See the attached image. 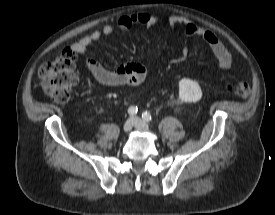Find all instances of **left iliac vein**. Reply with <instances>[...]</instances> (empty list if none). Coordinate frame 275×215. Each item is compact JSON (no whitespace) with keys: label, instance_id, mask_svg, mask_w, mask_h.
<instances>
[{"label":"left iliac vein","instance_id":"obj_1","mask_svg":"<svg viewBox=\"0 0 275 215\" xmlns=\"http://www.w3.org/2000/svg\"><path fill=\"white\" fill-rule=\"evenodd\" d=\"M133 121H134L135 128H137L139 130H143V131H148L149 130V126L143 120H141L140 118L134 117Z\"/></svg>","mask_w":275,"mask_h":215}]
</instances>
